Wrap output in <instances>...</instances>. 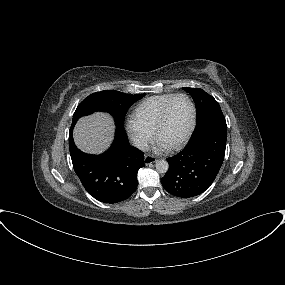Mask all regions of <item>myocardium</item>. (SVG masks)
<instances>
[{
    "instance_id": "myocardium-1",
    "label": "myocardium",
    "mask_w": 285,
    "mask_h": 285,
    "mask_svg": "<svg viewBox=\"0 0 285 285\" xmlns=\"http://www.w3.org/2000/svg\"><path fill=\"white\" fill-rule=\"evenodd\" d=\"M180 97L185 98L188 101L189 105H190V108H191V120H190V124H189L188 130L186 131L185 135L178 142H176L175 144L169 146V149H172V150L179 149L183 145H185L188 142V140L190 139V137L192 136L193 131L195 129L196 119H197V112H196L195 104L192 101V99L190 98V96L185 94V93L174 94L166 102V104L164 105V107H163V109H162V111H161V113L159 115V118H158V120L156 122L155 128H154V135H155L156 138H158V134H159L162 126L164 125V123H165V121L167 119L168 112H169L171 104L177 98H180Z\"/></svg>"
}]
</instances>
